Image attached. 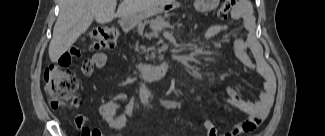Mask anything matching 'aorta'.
Here are the masks:
<instances>
[{
    "label": "aorta",
    "mask_w": 325,
    "mask_h": 136,
    "mask_svg": "<svg viewBox=\"0 0 325 136\" xmlns=\"http://www.w3.org/2000/svg\"><path fill=\"white\" fill-rule=\"evenodd\" d=\"M139 96L141 103L146 106L149 103V93L145 83H141L139 87Z\"/></svg>",
    "instance_id": "obj_1"
}]
</instances>
